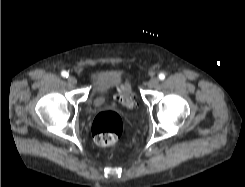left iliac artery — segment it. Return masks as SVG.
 <instances>
[{
  "label": "left iliac artery",
  "mask_w": 245,
  "mask_h": 187,
  "mask_svg": "<svg viewBox=\"0 0 245 187\" xmlns=\"http://www.w3.org/2000/svg\"><path fill=\"white\" fill-rule=\"evenodd\" d=\"M159 79L160 80H164L165 79V74L164 73H160L159 74Z\"/></svg>",
  "instance_id": "44dca946"
}]
</instances>
